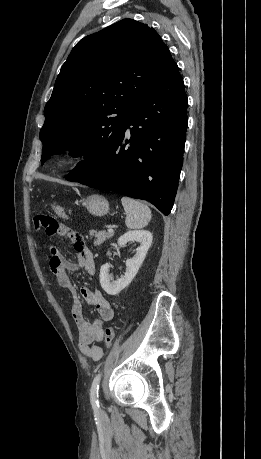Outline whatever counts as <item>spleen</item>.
I'll list each match as a JSON object with an SVG mask.
<instances>
[{
    "mask_svg": "<svg viewBox=\"0 0 261 459\" xmlns=\"http://www.w3.org/2000/svg\"><path fill=\"white\" fill-rule=\"evenodd\" d=\"M121 203L126 213L125 223L129 229H141L147 226L152 217L147 205L129 197H122Z\"/></svg>",
    "mask_w": 261,
    "mask_h": 459,
    "instance_id": "1",
    "label": "spleen"
}]
</instances>
